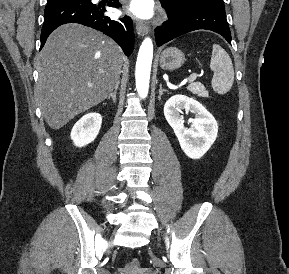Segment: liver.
<instances>
[{
    "mask_svg": "<svg viewBox=\"0 0 289 274\" xmlns=\"http://www.w3.org/2000/svg\"><path fill=\"white\" fill-rule=\"evenodd\" d=\"M123 53L111 39L66 24L47 39L37 60L35 98L54 130L108 98L119 82Z\"/></svg>",
    "mask_w": 289,
    "mask_h": 274,
    "instance_id": "1",
    "label": "liver"
}]
</instances>
